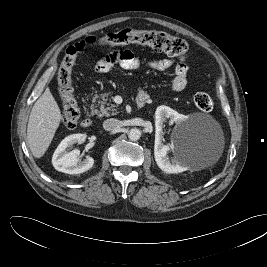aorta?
<instances>
[{
    "mask_svg": "<svg viewBox=\"0 0 267 267\" xmlns=\"http://www.w3.org/2000/svg\"><path fill=\"white\" fill-rule=\"evenodd\" d=\"M141 137V131L137 128H132L129 132H128V138L131 141H137L138 139H140Z\"/></svg>",
    "mask_w": 267,
    "mask_h": 267,
    "instance_id": "1",
    "label": "aorta"
}]
</instances>
